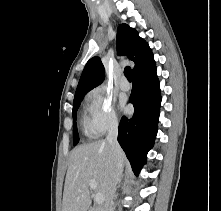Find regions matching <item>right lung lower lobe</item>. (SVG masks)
Returning <instances> with one entry per match:
<instances>
[{"instance_id":"obj_1","label":"right lung lower lobe","mask_w":221,"mask_h":211,"mask_svg":"<svg viewBox=\"0 0 221 211\" xmlns=\"http://www.w3.org/2000/svg\"><path fill=\"white\" fill-rule=\"evenodd\" d=\"M129 102L134 106V116L122 117L118 142L133 171L138 174L146 163L147 153L157 134L161 95L155 64L133 75Z\"/></svg>"}]
</instances>
